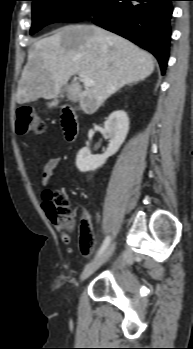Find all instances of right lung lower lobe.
<instances>
[{
    "label": "right lung lower lobe",
    "instance_id": "1",
    "mask_svg": "<svg viewBox=\"0 0 193 349\" xmlns=\"http://www.w3.org/2000/svg\"><path fill=\"white\" fill-rule=\"evenodd\" d=\"M173 0H101L86 18L150 51L162 73L169 56Z\"/></svg>",
    "mask_w": 193,
    "mask_h": 349
}]
</instances>
